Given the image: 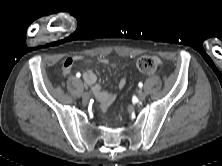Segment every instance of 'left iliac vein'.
Instances as JSON below:
<instances>
[{
    "label": "left iliac vein",
    "instance_id": "1",
    "mask_svg": "<svg viewBox=\"0 0 222 166\" xmlns=\"http://www.w3.org/2000/svg\"><path fill=\"white\" fill-rule=\"evenodd\" d=\"M145 98H146V94L143 91H139L138 92V99L140 101H143V100H145Z\"/></svg>",
    "mask_w": 222,
    "mask_h": 166
}]
</instances>
